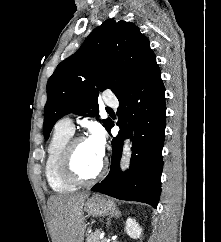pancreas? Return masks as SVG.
<instances>
[{
    "mask_svg": "<svg viewBox=\"0 0 221 242\" xmlns=\"http://www.w3.org/2000/svg\"><path fill=\"white\" fill-rule=\"evenodd\" d=\"M86 242H105V239H100L99 232L96 231L87 237Z\"/></svg>",
    "mask_w": 221,
    "mask_h": 242,
    "instance_id": "obj_1",
    "label": "pancreas"
}]
</instances>
